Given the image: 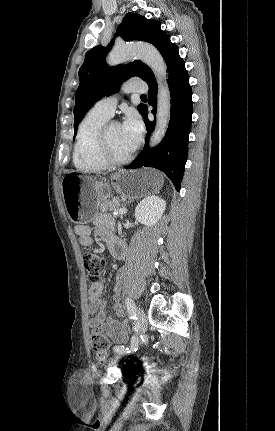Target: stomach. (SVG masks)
Instances as JSON below:
<instances>
[{
	"instance_id": "obj_1",
	"label": "stomach",
	"mask_w": 275,
	"mask_h": 431,
	"mask_svg": "<svg viewBox=\"0 0 275 431\" xmlns=\"http://www.w3.org/2000/svg\"><path fill=\"white\" fill-rule=\"evenodd\" d=\"M163 183L162 174L154 169L120 170L111 176L110 184L69 172L61 180V191L69 219L81 225L93 219L99 200L108 198L112 188L134 199L158 192Z\"/></svg>"
}]
</instances>
